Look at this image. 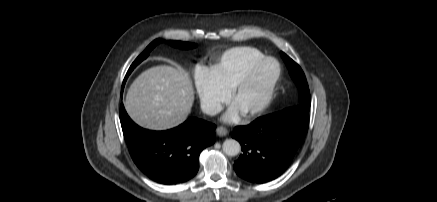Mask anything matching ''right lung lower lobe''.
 I'll use <instances>...</instances> for the list:
<instances>
[{"label":"right lung lower lobe","instance_id":"98d812e1","mask_svg":"<svg viewBox=\"0 0 437 202\" xmlns=\"http://www.w3.org/2000/svg\"><path fill=\"white\" fill-rule=\"evenodd\" d=\"M120 122L131 157L150 179L165 185L183 183L199 169L198 158L216 140V126L197 118L170 130L151 131L136 125L123 104Z\"/></svg>","mask_w":437,"mask_h":202}]
</instances>
